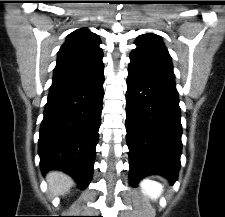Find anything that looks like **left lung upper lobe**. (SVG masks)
Masks as SVG:
<instances>
[{
	"mask_svg": "<svg viewBox=\"0 0 225 217\" xmlns=\"http://www.w3.org/2000/svg\"><path fill=\"white\" fill-rule=\"evenodd\" d=\"M137 48L130 54L129 66L142 70L165 71L174 76L171 57L160 36L147 33L138 37Z\"/></svg>",
	"mask_w": 225,
	"mask_h": 217,
	"instance_id": "5c2ea615",
	"label": "left lung upper lobe"
}]
</instances>
